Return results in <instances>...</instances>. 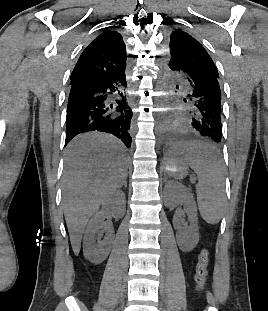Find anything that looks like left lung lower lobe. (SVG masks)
Wrapping results in <instances>:
<instances>
[{"label":"left lung lower lobe","instance_id":"0a47b994","mask_svg":"<svg viewBox=\"0 0 268 311\" xmlns=\"http://www.w3.org/2000/svg\"><path fill=\"white\" fill-rule=\"evenodd\" d=\"M166 64L168 69L181 73L190 87L188 98L184 99V102L189 103L187 118L176 127L179 132H173V140H207L218 147L223 137L219 78L202 66H186L180 63L168 65V62Z\"/></svg>","mask_w":268,"mask_h":311}]
</instances>
